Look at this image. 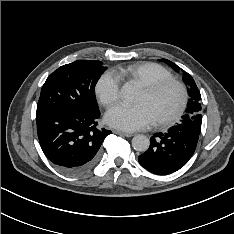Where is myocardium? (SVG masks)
Listing matches in <instances>:
<instances>
[{"label": "myocardium", "instance_id": "1", "mask_svg": "<svg viewBox=\"0 0 234 234\" xmlns=\"http://www.w3.org/2000/svg\"><path fill=\"white\" fill-rule=\"evenodd\" d=\"M168 87H175L179 90L180 102L177 108L168 117L153 122L155 126L161 128L169 127L180 119L188 103L187 89L180 81L175 79L161 80L142 87L143 92L149 97L156 95L157 93Z\"/></svg>", "mask_w": 234, "mask_h": 234}]
</instances>
